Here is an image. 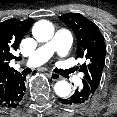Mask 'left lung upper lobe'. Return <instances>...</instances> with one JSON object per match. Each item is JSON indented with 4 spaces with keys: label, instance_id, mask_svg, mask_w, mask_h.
Instances as JSON below:
<instances>
[{
    "label": "left lung upper lobe",
    "instance_id": "obj_1",
    "mask_svg": "<svg viewBox=\"0 0 117 117\" xmlns=\"http://www.w3.org/2000/svg\"><path fill=\"white\" fill-rule=\"evenodd\" d=\"M67 24L77 37V57L85 63L77 67L85 74L83 85L94 95L100 85L105 64L106 46L99 28L79 13H68L59 17Z\"/></svg>",
    "mask_w": 117,
    "mask_h": 117
}]
</instances>
